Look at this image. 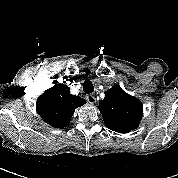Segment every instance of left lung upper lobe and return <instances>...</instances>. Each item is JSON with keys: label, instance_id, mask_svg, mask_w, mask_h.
<instances>
[{"label": "left lung upper lobe", "instance_id": "left-lung-upper-lobe-1", "mask_svg": "<svg viewBox=\"0 0 178 178\" xmlns=\"http://www.w3.org/2000/svg\"><path fill=\"white\" fill-rule=\"evenodd\" d=\"M106 126L119 133H128L136 129L143 113L140 100L124 92L115 85L105 92V98L99 103Z\"/></svg>", "mask_w": 178, "mask_h": 178}]
</instances>
